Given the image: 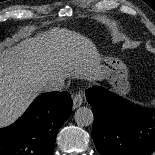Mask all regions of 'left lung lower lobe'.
I'll return each instance as SVG.
<instances>
[{
	"instance_id": "1",
	"label": "left lung lower lobe",
	"mask_w": 155,
	"mask_h": 155,
	"mask_svg": "<svg viewBox=\"0 0 155 155\" xmlns=\"http://www.w3.org/2000/svg\"><path fill=\"white\" fill-rule=\"evenodd\" d=\"M95 116L92 138L101 155L155 151V108H144L100 87L86 91Z\"/></svg>"
}]
</instances>
